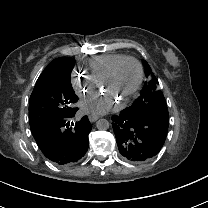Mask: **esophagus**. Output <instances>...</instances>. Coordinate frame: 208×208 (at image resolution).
Returning a JSON list of instances; mask_svg holds the SVG:
<instances>
[{
    "label": "esophagus",
    "mask_w": 208,
    "mask_h": 208,
    "mask_svg": "<svg viewBox=\"0 0 208 208\" xmlns=\"http://www.w3.org/2000/svg\"><path fill=\"white\" fill-rule=\"evenodd\" d=\"M98 119H99V117L96 116V115H89V121H91V122H95V121H97Z\"/></svg>",
    "instance_id": "34e87169"
}]
</instances>
